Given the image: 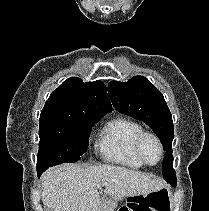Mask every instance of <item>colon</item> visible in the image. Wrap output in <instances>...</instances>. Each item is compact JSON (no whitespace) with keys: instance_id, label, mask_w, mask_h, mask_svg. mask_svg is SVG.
<instances>
[{"instance_id":"obj_1","label":"colon","mask_w":209,"mask_h":211,"mask_svg":"<svg viewBox=\"0 0 209 211\" xmlns=\"http://www.w3.org/2000/svg\"><path fill=\"white\" fill-rule=\"evenodd\" d=\"M118 211H169L168 193L166 190H159L130 197Z\"/></svg>"}]
</instances>
